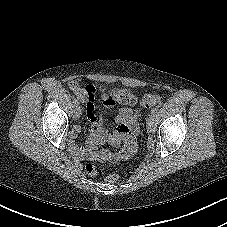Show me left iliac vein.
I'll return each instance as SVG.
<instances>
[{"mask_svg": "<svg viewBox=\"0 0 227 227\" xmlns=\"http://www.w3.org/2000/svg\"><path fill=\"white\" fill-rule=\"evenodd\" d=\"M147 131L149 133H154L155 131V115L150 114L146 121Z\"/></svg>", "mask_w": 227, "mask_h": 227, "instance_id": "4c4485c4", "label": "left iliac vein"}]
</instances>
